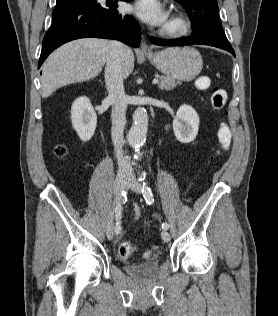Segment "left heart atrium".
<instances>
[{"label":"left heart atrium","instance_id":"39dd6f15","mask_svg":"<svg viewBox=\"0 0 278 316\" xmlns=\"http://www.w3.org/2000/svg\"><path fill=\"white\" fill-rule=\"evenodd\" d=\"M132 11L151 25H161L167 19V13L159 0H137Z\"/></svg>","mask_w":278,"mask_h":316}]
</instances>
